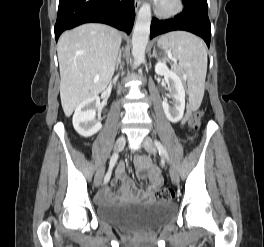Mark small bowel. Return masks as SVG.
Listing matches in <instances>:
<instances>
[{
    "mask_svg": "<svg viewBox=\"0 0 264 247\" xmlns=\"http://www.w3.org/2000/svg\"><path fill=\"white\" fill-rule=\"evenodd\" d=\"M135 167L137 176L139 178H148L149 180V186L145 191L140 190L137 186L129 182V180L125 177V167L123 164H120L116 171V179L124 180V185L121 188L120 194L118 196H115L113 195L111 188L106 187L99 192V194L97 195V200L99 202L105 203L118 199H153L155 193L163 182V178L160 174L159 169L152 164L151 160L148 157L144 155L136 156ZM115 184L116 180L112 182V185Z\"/></svg>",
    "mask_w": 264,
    "mask_h": 247,
    "instance_id": "small-bowel-1",
    "label": "small bowel"
}]
</instances>
